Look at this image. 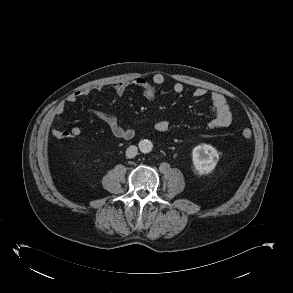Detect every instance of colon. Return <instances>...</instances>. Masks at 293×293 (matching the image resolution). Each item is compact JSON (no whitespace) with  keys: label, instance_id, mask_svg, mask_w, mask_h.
I'll return each mask as SVG.
<instances>
[{"label":"colon","instance_id":"colon-1","mask_svg":"<svg viewBox=\"0 0 293 293\" xmlns=\"http://www.w3.org/2000/svg\"><path fill=\"white\" fill-rule=\"evenodd\" d=\"M242 136L244 139L249 140L252 137V132L249 129H244L242 131Z\"/></svg>","mask_w":293,"mask_h":293}]
</instances>
